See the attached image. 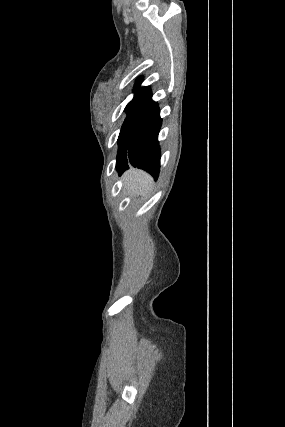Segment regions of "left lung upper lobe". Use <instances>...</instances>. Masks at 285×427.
Wrapping results in <instances>:
<instances>
[{
    "mask_svg": "<svg viewBox=\"0 0 285 427\" xmlns=\"http://www.w3.org/2000/svg\"><path fill=\"white\" fill-rule=\"evenodd\" d=\"M140 83L141 78L138 79L135 85L133 100L128 103L125 108V111H128V116L122 125L120 135L127 128V126L141 113V111L152 101L150 88L140 87Z\"/></svg>",
    "mask_w": 285,
    "mask_h": 427,
    "instance_id": "left-lung-upper-lobe-1",
    "label": "left lung upper lobe"
}]
</instances>
